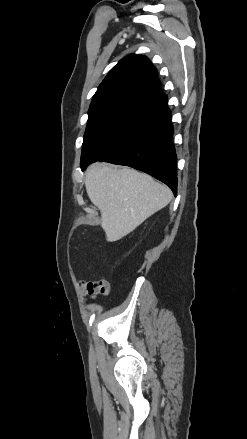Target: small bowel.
I'll list each match as a JSON object with an SVG mask.
<instances>
[{
	"label": "small bowel",
	"instance_id": "c3829d8e",
	"mask_svg": "<svg viewBox=\"0 0 247 439\" xmlns=\"http://www.w3.org/2000/svg\"><path fill=\"white\" fill-rule=\"evenodd\" d=\"M80 289L84 296H87L90 300H94L98 295H108L110 285L105 280L82 282Z\"/></svg>",
	"mask_w": 247,
	"mask_h": 439
}]
</instances>
